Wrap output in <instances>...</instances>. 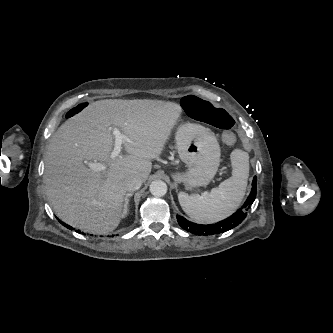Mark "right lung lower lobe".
I'll return each mask as SVG.
<instances>
[{
    "instance_id": "1",
    "label": "right lung lower lobe",
    "mask_w": 333,
    "mask_h": 333,
    "mask_svg": "<svg viewBox=\"0 0 333 333\" xmlns=\"http://www.w3.org/2000/svg\"><path fill=\"white\" fill-rule=\"evenodd\" d=\"M59 221H60V220H59ZM60 223H62L64 226H66L67 228H69V229H71V230L73 229L71 226L65 224L64 222H61V221H60ZM77 232L80 233V231H77Z\"/></svg>"
}]
</instances>
